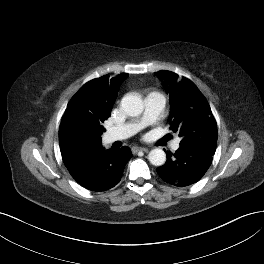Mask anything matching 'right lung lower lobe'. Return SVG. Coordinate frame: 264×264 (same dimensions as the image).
Returning a JSON list of instances; mask_svg holds the SVG:
<instances>
[{
  "label": "right lung lower lobe",
  "mask_w": 264,
  "mask_h": 264,
  "mask_svg": "<svg viewBox=\"0 0 264 264\" xmlns=\"http://www.w3.org/2000/svg\"><path fill=\"white\" fill-rule=\"evenodd\" d=\"M71 176L88 190L101 192L117 185L126 163L132 157L128 147L105 150L101 139L73 142L60 146Z\"/></svg>",
  "instance_id": "1"
}]
</instances>
